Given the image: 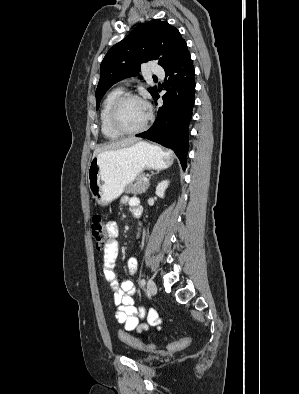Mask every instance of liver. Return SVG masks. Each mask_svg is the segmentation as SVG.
<instances>
[{
  "mask_svg": "<svg viewBox=\"0 0 299 394\" xmlns=\"http://www.w3.org/2000/svg\"><path fill=\"white\" fill-rule=\"evenodd\" d=\"M138 141H139L138 138L131 137V138H127L124 140L111 142L110 144H107V145H100L94 150L93 157L98 155L101 152H104V151L129 147V146L137 143Z\"/></svg>",
  "mask_w": 299,
  "mask_h": 394,
  "instance_id": "6515ba94",
  "label": "liver"
}]
</instances>
